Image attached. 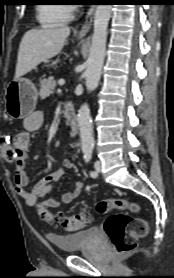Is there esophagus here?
<instances>
[{
	"label": "esophagus",
	"mask_w": 174,
	"mask_h": 278,
	"mask_svg": "<svg viewBox=\"0 0 174 278\" xmlns=\"http://www.w3.org/2000/svg\"><path fill=\"white\" fill-rule=\"evenodd\" d=\"M95 9H96L95 5H92L88 10L85 18V22L79 31V36L83 37L89 32L93 23Z\"/></svg>",
	"instance_id": "1"
}]
</instances>
